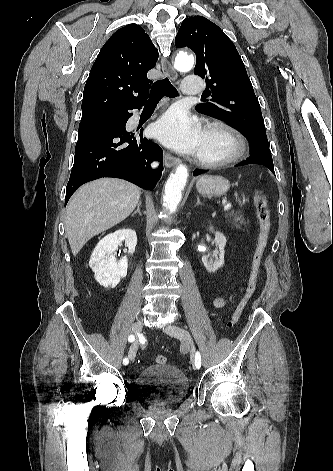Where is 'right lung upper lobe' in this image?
Here are the masks:
<instances>
[{
	"label": "right lung upper lobe",
	"mask_w": 333,
	"mask_h": 471,
	"mask_svg": "<svg viewBox=\"0 0 333 471\" xmlns=\"http://www.w3.org/2000/svg\"><path fill=\"white\" fill-rule=\"evenodd\" d=\"M158 52L144 29L129 24L104 44L87 79L81 121L145 102Z\"/></svg>",
	"instance_id": "cb5924a9"
}]
</instances>
